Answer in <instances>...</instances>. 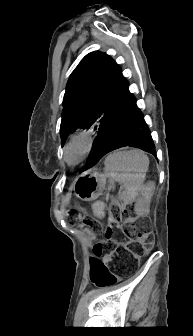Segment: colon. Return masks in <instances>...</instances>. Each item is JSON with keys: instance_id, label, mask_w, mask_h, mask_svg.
I'll use <instances>...</instances> for the list:
<instances>
[{"instance_id": "1", "label": "colon", "mask_w": 193, "mask_h": 336, "mask_svg": "<svg viewBox=\"0 0 193 336\" xmlns=\"http://www.w3.org/2000/svg\"><path fill=\"white\" fill-rule=\"evenodd\" d=\"M95 232L102 234L103 240L95 244L91 280L99 287L116 282V273L108 265L114 256L132 261L140 253L149 252L154 247V236L146 220L137 221L126 208H114L105 227L97 221H87ZM119 232L123 238L119 240Z\"/></svg>"}]
</instances>
